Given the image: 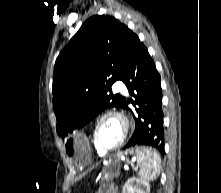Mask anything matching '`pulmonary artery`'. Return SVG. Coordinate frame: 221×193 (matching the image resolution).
Wrapping results in <instances>:
<instances>
[{"label": "pulmonary artery", "mask_w": 221, "mask_h": 193, "mask_svg": "<svg viewBox=\"0 0 221 193\" xmlns=\"http://www.w3.org/2000/svg\"><path fill=\"white\" fill-rule=\"evenodd\" d=\"M114 88H115V90L121 91V92H123L124 94L127 93V89H126V87H125V85H124V83H123L122 81H117V82L115 83V85H114Z\"/></svg>", "instance_id": "1"}]
</instances>
